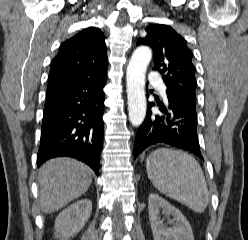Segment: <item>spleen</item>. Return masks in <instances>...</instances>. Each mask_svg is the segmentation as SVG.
Listing matches in <instances>:
<instances>
[{
  "mask_svg": "<svg viewBox=\"0 0 248 240\" xmlns=\"http://www.w3.org/2000/svg\"><path fill=\"white\" fill-rule=\"evenodd\" d=\"M147 175L163 194L203 213L209 202L203 171L190 154L167 148L153 151L146 159Z\"/></svg>",
  "mask_w": 248,
  "mask_h": 240,
  "instance_id": "3e777b00",
  "label": "spleen"
}]
</instances>
